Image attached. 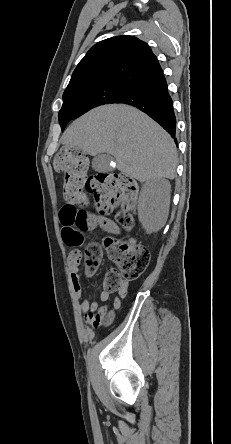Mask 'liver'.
<instances>
[{
	"label": "liver",
	"mask_w": 231,
	"mask_h": 444,
	"mask_svg": "<svg viewBox=\"0 0 231 444\" xmlns=\"http://www.w3.org/2000/svg\"><path fill=\"white\" fill-rule=\"evenodd\" d=\"M61 143L91 156H114L123 174L140 182L174 179L177 150L171 136L140 110L124 104L94 108L75 120Z\"/></svg>",
	"instance_id": "liver-1"
}]
</instances>
